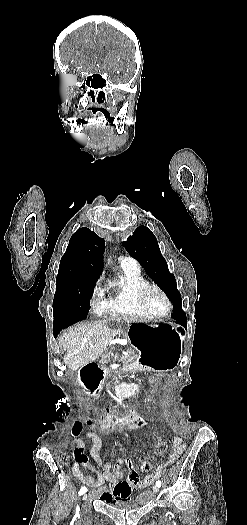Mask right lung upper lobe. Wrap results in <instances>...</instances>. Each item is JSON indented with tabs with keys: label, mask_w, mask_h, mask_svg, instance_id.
Masks as SVG:
<instances>
[{
	"label": "right lung upper lobe",
	"mask_w": 247,
	"mask_h": 525,
	"mask_svg": "<svg viewBox=\"0 0 247 525\" xmlns=\"http://www.w3.org/2000/svg\"><path fill=\"white\" fill-rule=\"evenodd\" d=\"M104 250V239L88 228H80L71 236L58 272L80 271L100 275Z\"/></svg>",
	"instance_id": "right-lung-upper-lobe-1"
}]
</instances>
